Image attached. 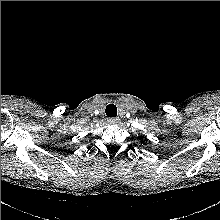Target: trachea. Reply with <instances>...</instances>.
I'll list each match as a JSON object with an SVG mask.
<instances>
[{"label":"trachea","mask_w":220,"mask_h":220,"mask_svg":"<svg viewBox=\"0 0 220 220\" xmlns=\"http://www.w3.org/2000/svg\"><path fill=\"white\" fill-rule=\"evenodd\" d=\"M106 115L108 117H116L117 116V107L114 104H109L105 109Z\"/></svg>","instance_id":"obj_1"}]
</instances>
